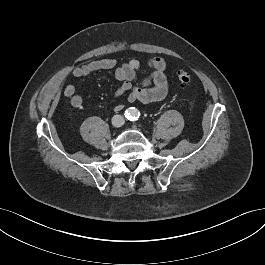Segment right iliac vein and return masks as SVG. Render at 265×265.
<instances>
[{"instance_id": "obj_1", "label": "right iliac vein", "mask_w": 265, "mask_h": 265, "mask_svg": "<svg viewBox=\"0 0 265 265\" xmlns=\"http://www.w3.org/2000/svg\"><path fill=\"white\" fill-rule=\"evenodd\" d=\"M113 125H114L115 127H118V126H119V121H118V120H114V121H113Z\"/></svg>"}]
</instances>
